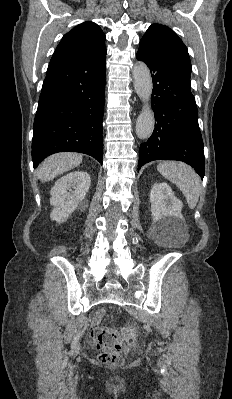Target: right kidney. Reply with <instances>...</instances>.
I'll return each instance as SVG.
<instances>
[{
  "label": "right kidney",
  "instance_id": "ca27d5eb",
  "mask_svg": "<svg viewBox=\"0 0 232 399\" xmlns=\"http://www.w3.org/2000/svg\"><path fill=\"white\" fill-rule=\"evenodd\" d=\"M91 178L87 172H70L57 180L51 188V200L53 209L51 219L58 223L66 221L74 209H87L88 201L85 196L90 188Z\"/></svg>",
  "mask_w": 232,
  "mask_h": 399
}]
</instances>
